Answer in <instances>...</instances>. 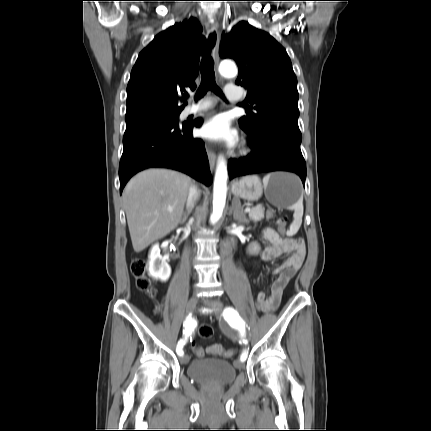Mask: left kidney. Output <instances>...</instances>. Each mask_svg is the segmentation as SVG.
<instances>
[{
    "label": "left kidney",
    "instance_id": "obj_1",
    "mask_svg": "<svg viewBox=\"0 0 431 431\" xmlns=\"http://www.w3.org/2000/svg\"><path fill=\"white\" fill-rule=\"evenodd\" d=\"M258 250H259V248H258V246H257V244H252V248H250V251H252V252H258Z\"/></svg>",
    "mask_w": 431,
    "mask_h": 431
}]
</instances>
